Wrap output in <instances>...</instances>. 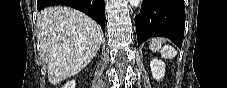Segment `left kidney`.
<instances>
[{
	"label": "left kidney",
	"instance_id": "1",
	"mask_svg": "<svg viewBox=\"0 0 227 88\" xmlns=\"http://www.w3.org/2000/svg\"><path fill=\"white\" fill-rule=\"evenodd\" d=\"M151 72L153 75V78L160 81L165 74V64L163 61L158 59H153L150 62Z\"/></svg>",
	"mask_w": 227,
	"mask_h": 88
}]
</instances>
